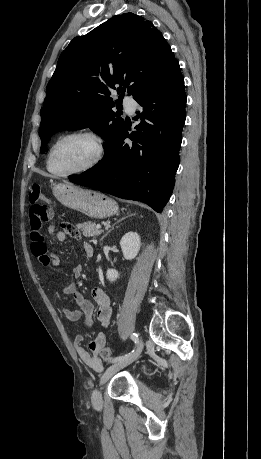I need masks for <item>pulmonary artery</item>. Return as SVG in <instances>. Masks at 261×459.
I'll use <instances>...</instances> for the list:
<instances>
[{"label": "pulmonary artery", "mask_w": 261, "mask_h": 459, "mask_svg": "<svg viewBox=\"0 0 261 459\" xmlns=\"http://www.w3.org/2000/svg\"><path fill=\"white\" fill-rule=\"evenodd\" d=\"M136 102L133 100V99H125L124 100V107H125V110L129 113V114H133L136 110Z\"/></svg>", "instance_id": "1"}]
</instances>
